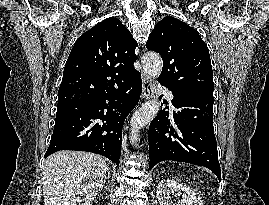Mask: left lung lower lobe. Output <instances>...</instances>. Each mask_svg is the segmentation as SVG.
I'll return each mask as SVG.
<instances>
[{
  "label": "left lung lower lobe",
  "instance_id": "0a47b994",
  "mask_svg": "<svg viewBox=\"0 0 269 205\" xmlns=\"http://www.w3.org/2000/svg\"><path fill=\"white\" fill-rule=\"evenodd\" d=\"M172 94L173 116L161 110L149 127V168L173 160L207 167L221 180L213 128L214 98Z\"/></svg>",
  "mask_w": 269,
  "mask_h": 205
}]
</instances>
